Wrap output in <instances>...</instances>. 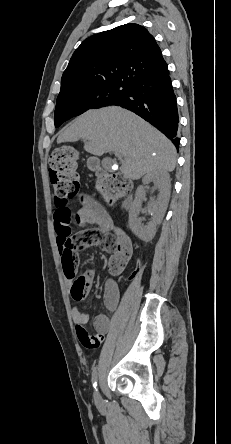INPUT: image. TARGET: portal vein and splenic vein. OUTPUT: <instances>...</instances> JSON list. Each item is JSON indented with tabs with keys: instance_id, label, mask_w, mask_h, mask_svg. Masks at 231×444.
Wrapping results in <instances>:
<instances>
[{
	"instance_id": "obj_1",
	"label": "portal vein and splenic vein",
	"mask_w": 231,
	"mask_h": 444,
	"mask_svg": "<svg viewBox=\"0 0 231 444\" xmlns=\"http://www.w3.org/2000/svg\"><path fill=\"white\" fill-rule=\"evenodd\" d=\"M115 156L118 157V158H121V154L118 153V152L115 153Z\"/></svg>"
}]
</instances>
